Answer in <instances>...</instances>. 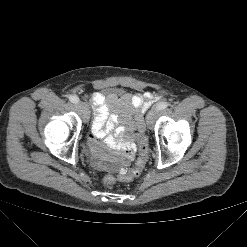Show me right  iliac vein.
<instances>
[{"label":"right iliac vein","mask_w":247,"mask_h":247,"mask_svg":"<svg viewBox=\"0 0 247 247\" xmlns=\"http://www.w3.org/2000/svg\"><path fill=\"white\" fill-rule=\"evenodd\" d=\"M76 107L79 110V112L81 113L84 122H87L89 119V116H90L88 106L84 102L80 101L76 104Z\"/></svg>","instance_id":"63e3f726"}]
</instances>
